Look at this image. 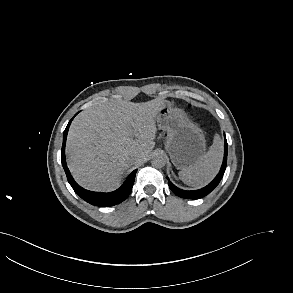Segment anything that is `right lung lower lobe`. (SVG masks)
I'll use <instances>...</instances> for the list:
<instances>
[{
    "instance_id": "1",
    "label": "right lung lower lobe",
    "mask_w": 293,
    "mask_h": 293,
    "mask_svg": "<svg viewBox=\"0 0 293 293\" xmlns=\"http://www.w3.org/2000/svg\"><path fill=\"white\" fill-rule=\"evenodd\" d=\"M71 121L69 122V124L67 125L63 133V145L61 150L62 165L66 173L69 184L72 186L73 190L75 191L77 195H79L83 200H85L86 202L94 206L108 207V206H113V205L121 203L129 196L132 190L137 170H134L127 177L123 185L113 192H109V193L93 192V191H89L80 187L71 176L70 171L66 164V160H65V141H66L67 131Z\"/></svg>"
}]
</instances>
